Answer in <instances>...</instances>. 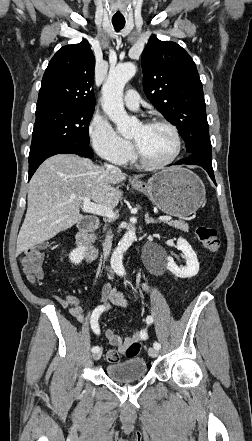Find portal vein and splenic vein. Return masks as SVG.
<instances>
[{
  "label": "portal vein and splenic vein",
  "mask_w": 252,
  "mask_h": 441,
  "mask_svg": "<svg viewBox=\"0 0 252 441\" xmlns=\"http://www.w3.org/2000/svg\"><path fill=\"white\" fill-rule=\"evenodd\" d=\"M75 198V196H72ZM83 201L82 210L88 213L104 216L107 218L114 219L116 217L115 213L108 207L101 206L90 201L89 197L80 198ZM172 218L170 216H160L161 221H170Z\"/></svg>",
  "instance_id": "obj_1"
}]
</instances>
